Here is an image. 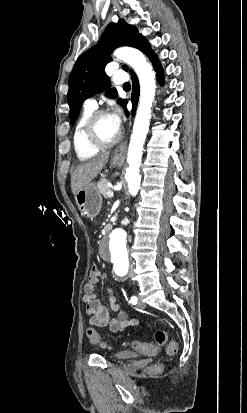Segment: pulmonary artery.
<instances>
[{"label":"pulmonary artery","instance_id":"e3ab8cb5","mask_svg":"<svg viewBox=\"0 0 247 413\" xmlns=\"http://www.w3.org/2000/svg\"><path fill=\"white\" fill-rule=\"evenodd\" d=\"M126 70L125 69H123V68H120V69H118L117 70V74H115V75H113L112 77H111V81L114 83V84H117L118 86H123L124 85V82L127 84L128 82H127V76H125L126 75ZM86 104L88 105V106H90V107H95L96 106V99H95V97L94 96H92V97H89V98H87L86 99Z\"/></svg>","mask_w":247,"mask_h":413}]
</instances>
